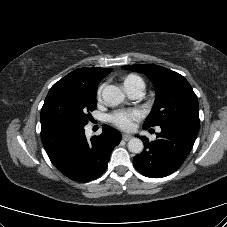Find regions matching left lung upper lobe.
Masks as SVG:
<instances>
[{
    "mask_svg": "<svg viewBox=\"0 0 227 227\" xmlns=\"http://www.w3.org/2000/svg\"><path fill=\"white\" fill-rule=\"evenodd\" d=\"M123 68L145 74L155 86V103L143 124L144 128L171 122L200 124L197 96L182 75L154 64Z\"/></svg>",
    "mask_w": 227,
    "mask_h": 227,
    "instance_id": "1",
    "label": "left lung upper lobe"
}]
</instances>
